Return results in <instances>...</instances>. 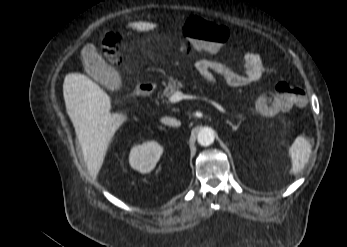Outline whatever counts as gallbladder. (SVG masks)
Masks as SVG:
<instances>
[{
	"label": "gallbladder",
	"instance_id": "bac80fb5",
	"mask_svg": "<svg viewBox=\"0 0 347 247\" xmlns=\"http://www.w3.org/2000/svg\"><path fill=\"white\" fill-rule=\"evenodd\" d=\"M87 74L110 91H118L122 80L117 70L97 55L95 47L87 46L81 54Z\"/></svg>",
	"mask_w": 347,
	"mask_h": 247
}]
</instances>
